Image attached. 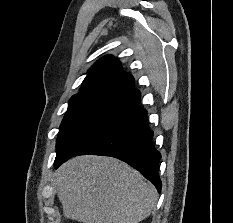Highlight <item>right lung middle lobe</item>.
<instances>
[{
	"mask_svg": "<svg viewBox=\"0 0 233 223\" xmlns=\"http://www.w3.org/2000/svg\"><path fill=\"white\" fill-rule=\"evenodd\" d=\"M120 93L73 96L61 123L57 154H75L105 131L125 110Z\"/></svg>",
	"mask_w": 233,
	"mask_h": 223,
	"instance_id": "right-lung-middle-lobe-1",
	"label": "right lung middle lobe"
}]
</instances>
